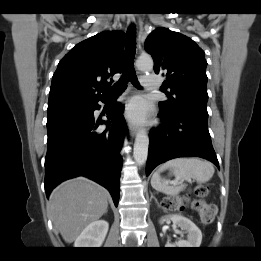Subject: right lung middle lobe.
<instances>
[{
	"label": "right lung middle lobe",
	"mask_w": 261,
	"mask_h": 261,
	"mask_svg": "<svg viewBox=\"0 0 261 261\" xmlns=\"http://www.w3.org/2000/svg\"><path fill=\"white\" fill-rule=\"evenodd\" d=\"M85 101L78 100H53L48 102V112L56 111L66 107H81L86 105Z\"/></svg>",
	"instance_id": "dd1d6c3e"
}]
</instances>
